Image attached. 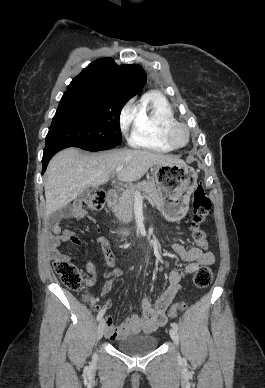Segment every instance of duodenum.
Returning a JSON list of instances; mask_svg holds the SVG:
<instances>
[{"instance_id":"duodenum-1","label":"duodenum","mask_w":265,"mask_h":388,"mask_svg":"<svg viewBox=\"0 0 265 388\" xmlns=\"http://www.w3.org/2000/svg\"><path fill=\"white\" fill-rule=\"evenodd\" d=\"M119 199V193L116 190H110L107 195L108 206H114Z\"/></svg>"}]
</instances>
